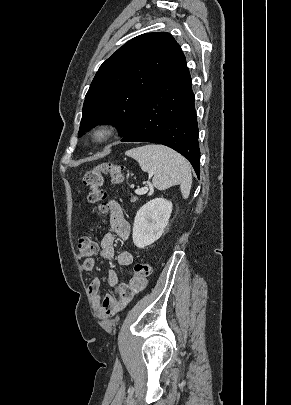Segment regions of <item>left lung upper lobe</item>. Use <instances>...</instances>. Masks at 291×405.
<instances>
[{
  "instance_id": "left-lung-upper-lobe-1",
  "label": "left lung upper lobe",
  "mask_w": 291,
  "mask_h": 405,
  "mask_svg": "<svg viewBox=\"0 0 291 405\" xmlns=\"http://www.w3.org/2000/svg\"><path fill=\"white\" fill-rule=\"evenodd\" d=\"M182 52L171 34L139 35L99 68L85 96L79 136L98 124H113L125 136L153 84Z\"/></svg>"
}]
</instances>
